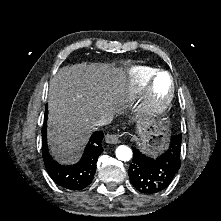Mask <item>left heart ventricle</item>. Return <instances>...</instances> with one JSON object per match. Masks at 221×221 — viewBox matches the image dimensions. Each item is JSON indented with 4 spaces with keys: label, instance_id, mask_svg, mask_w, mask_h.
Wrapping results in <instances>:
<instances>
[{
    "label": "left heart ventricle",
    "instance_id": "obj_1",
    "mask_svg": "<svg viewBox=\"0 0 221 221\" xmlns=\"http://www.w3.org/2000/svg\"><path fill=\"white\" fill-rule=\"evenodd\" d=\"M170 90L169 78L166 74H161L155 82V91L159 95V99L163 100L167 97Z\"/></svg>",
    "mask_w": 221,
    "mask_h": 221
}]
</instances>
